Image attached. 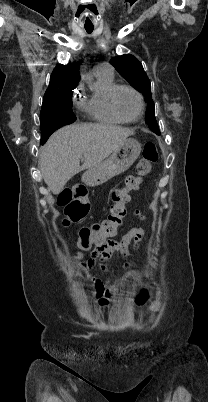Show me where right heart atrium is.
Wrapping results in <instances>:
<instances>
[{"label": "right heart atrium", "instance_id": "d8ad5b80", "mask_svg": "<svg viewBox=\"0 0 208 402\" xmlns=\"http://www.w3.org/2000/svg\"><path fill=\"white\" fill-rule=\"evenodd\" d=\"M78 89H80V87H79ZM72 101H73L74 103H76V93L73 94V96H72Z\"/></svg>", "mask_w": 208, "mask_h": 402}]
</instances>
